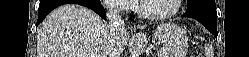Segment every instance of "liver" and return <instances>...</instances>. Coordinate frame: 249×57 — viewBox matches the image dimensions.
<instances>
[{
  "mask_svg": "<svg viewBox=\"0 0 249 57\" xmlns=\"http://www.w3.org/2000/svg\"><path fill=\"white\" fill-rule=\"evenodd\" d=\"M146 26L139 27L144 29ZM147 36H130L124 27L111 29L94 11L74 4L54 9L41 23L37 35V57H120L128 46L130 57H140Z\"/></svg>",
  "mask_w": 249,
  "mask_h": 57,
  "instance_id": "liver-1",
  "label": "liver"
}]
</instances>
